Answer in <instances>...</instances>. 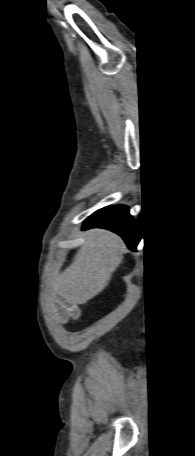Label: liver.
<instances>
[{
  "mask_svg": "<svg viewBox=\"0 0 195 456\" xmlns=\"http://www.w3.org/2000/svg\"><path fill=\"white\" fill-rule=\"evenodd\" d=\"M123 250L118 235L103 229L87 231L73 262L53 280L54 289L73 304L87 303L108 286L122 263Z\"/></svg>",
  "mask_w": 195,
  "mask_h": 456,
  "instance_id": "1",
  "label": "liver"
}]
</instances>
